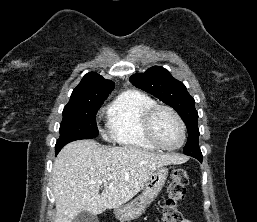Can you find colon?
Here are the masks:
<instances>
[{
	"label": "colon",
	"mask_w": 257,
	"mask_h": 222,
	"mask_svg": "<svg viewBox=\"0 0 257 222\" xmlns=\"http://www.w3.org/2000/svg\"><path fill=\"white\" fill-rule=\"evenodd\" d=\"M187 183V171L183 168L174 169L167 187V199L158 222H182L179 204L186 195Z\"/></svg>",
	"instance_id": "colon-1"
}]
</instances>
